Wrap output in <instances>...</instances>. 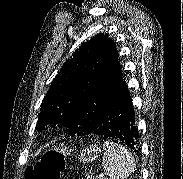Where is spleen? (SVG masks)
I'll use <instances>...</instances> for the list:
<instances>
[{"instance_id": "spleen-1", "label": "spleen", "mask_w": 183, "mask_h": 179, "mask_svg": "<svg viewBox=\"0 0 183 179\" xmlns=\"http://www.w3.org/2000/svg\"><path fill=\"white\" fill-rule=\"evenodd\" d=\"M103 150L102 166L108 172L110 179H125L134 172L135 160L124 146L106 141Z\"/></svg>"}]
</instances>
